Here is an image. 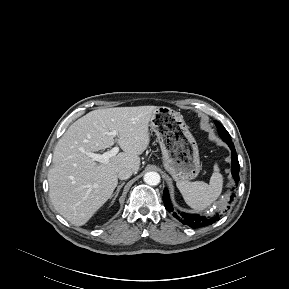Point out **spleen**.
I'll use <instances>...</instances> for the list:
<instances>
[{"instance_id":"spleen-1","label":"spleen","mask_w":289,"mask_h":289,"mask_svg":"<svg viewBox=\"0 0 289 289\" xmlns=\"http://www.w3.org/2000/svg\"><path fill=\"white\" fill-rule=\"evenodd\" d=\"M185 202L195 210H203L210 206L221 194L223 176L219 172L217 164L214 165V173L209 184L203 181H177L176 183Z\"/></svg>"}]
</instances>
